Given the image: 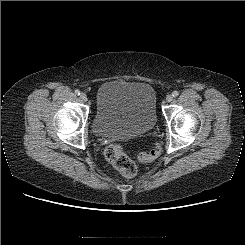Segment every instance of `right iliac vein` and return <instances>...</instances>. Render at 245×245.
Returning a JSON list of instances; mask_svg holds the SVG:
<instances>
[{
	"mask_svg": "<svg viewBox=\"0 0 245 245\" xmlns=\"http://www.w3.org/2000/svg\"><path fill=\"white\" fill-rule=\"evenodd\" d=\"M80 98L82 101H87L88 97L85 93H81Z\"/></svg>",
	"mask_w": 245,
	"mask_h": 245,
	"instance_id": "63e3f726",
	"label": "right iliac vein"
}]
</instances>
